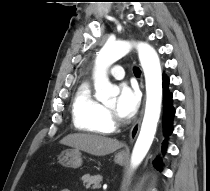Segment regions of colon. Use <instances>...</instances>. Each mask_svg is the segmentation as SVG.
Masks as SVG:
<instances>
[{"label": "colon", "instance_id": "5ec220e1", "mask_svg": "<svg viewBox=\"0 0 210 191\" xmlns=\"http://www.w3.org/2000/svg\"><path fill=\"white\" fill-rule=\"evenodd\" d=\"M30 191H40V190H38V189H32V190H30Z\"/></svg>", "mask_w": 210, "mask_h": 191}]
</instances>
